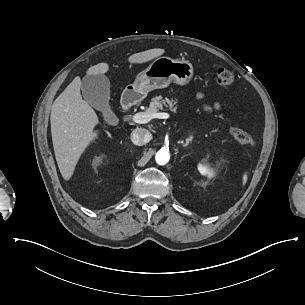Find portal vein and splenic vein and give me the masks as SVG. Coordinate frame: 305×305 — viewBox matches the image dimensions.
I'll list each match as a JSON object with an SVG mask.
<instances>
[{"label":"portal vein and splenic vein","instance_id":"18ae733b","mask_svg":"<svg viewBox=\"0 0 305 305\" xmlns=\"http://www.w3.org/2000/svg\"><path fill=\"white\" fill-rule=\"evenodd\" d=\"M152 116L160 118V119H170L171 118V114L165 113V112L157 113L154 115H150L149 113L140 112V113H136V114L132 115L131 121L133 123L143 124V123H147Z\"/></svg>","mask_w":305,"mask_h":305}]
</instances>
